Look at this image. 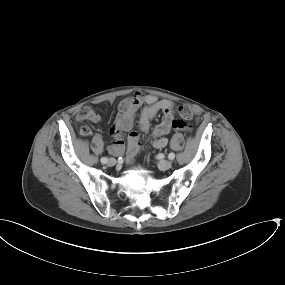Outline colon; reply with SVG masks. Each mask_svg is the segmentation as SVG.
<instances>
[{"instance_id": "colon-1", "label": "colon", "mask_w": 285, "mask_h": 285, "mask_svg": "<svg viewBox=\"0 0 285 285\" xmlns=\"http://www.w3.org/2000/svg\"><path fill=\"white\" fill-rule=\"evenodd\" d=\"M176 111H177V114L182 119H185V120L191 119L193 115V110L189 105H181L176 109Z\"/></svg>"}]
</instances>
